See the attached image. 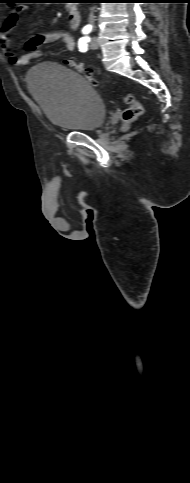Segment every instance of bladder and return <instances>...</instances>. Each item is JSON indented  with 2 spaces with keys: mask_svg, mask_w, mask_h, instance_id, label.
I'll return each instance as SVG.
<instances>
[{
  "mask_svg": "<svg viewBox=\"0 0 190 483\" xmlns=\"http://www.w3.org/2000/svg\"><path fill=\"white\" fill-rule=\"evenodd\" d=\"M27 86L44 115L53 124L72 131H93L106 118L98 92L76 71L55 63L35 66Z\"/></svg>",
  "mask_w": 190,
  "mask_h": 483,
  "instance_id": "31cf9c89",
  "label": "bladder"
}]
</instances>
